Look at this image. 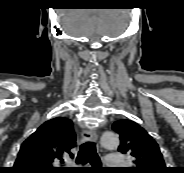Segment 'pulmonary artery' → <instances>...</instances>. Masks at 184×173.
Returning a JSON list of instances; mask_svg holds the SVG:
<instances>
[{
    "label": "pulmonary artery",
    "instance_id": "e3ab8cb5",
    "mask_svg": "<svg viewBox=\"0 0 184 173\" xmlns=\"http://www.w3.org/2000/svg\"><path fill=\"white\" fill-rule=\"evenodd\" d=\"M122 164L120 154H108L105 156L104 165L109 168H117Z\"/></svg>",
    "mask_w": 184,
    "mask_h": 173
}]
</instances>
